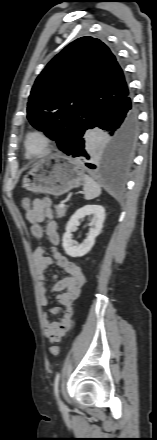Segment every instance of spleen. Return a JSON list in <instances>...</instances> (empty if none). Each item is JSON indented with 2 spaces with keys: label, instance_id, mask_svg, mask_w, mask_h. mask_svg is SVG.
I'll use <instances>...</instances> for the list:
<instances>
[{
  "label": "spleen",
  "instance_id": "obj_1",
  "mask_svg": "<svg viewBox=\"0 0 157 440\" xmlns=\"http://www.w3.org/2000/svg\"><path fill=\"white\" fill-rule=\"evenodd\" d=\"M84 180V197L86 200H92L101 194V187L100 185L94 181L90 176L84 174L83 175Z\"/></svg>",
  "mask_w": 157,
  "mask_h": 440
}]
</instances>
